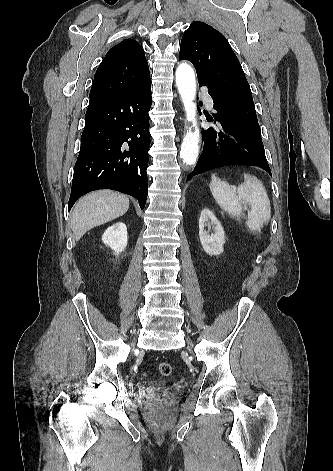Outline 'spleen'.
<instances>
[{"mask_svg":"<svg viewBox=\"0 0 333 471\" xmlns=\"http://www.w3.org/2000/svg\"><path fill=\"white\" fill-rule=\"evenodd\" d=\"M211 192L220 208L232 217H241L242 204H249L246 226L252 231L260 230L263 223L271 217L270 200L262 182L255 176L244 173V182L237 188L212 175Z\"/></svg>","mask_w":333,"mask_h":471,"instance_id":"spleen-1","label":"spleen"}]
</instances>
